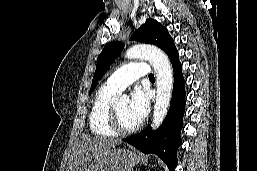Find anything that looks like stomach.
<instances>
[{"mask_svg":"<svg viewBox=\"0 0 257 171\" xmlns=\"http://www.w3.org/2000/svg\"><path fill=\"white\" fill-rule=\"evenodd\" d=\"M140 162V155L124 148H112L103 152L88 171H132Z\"/></svg>","mask_w":257,"mask_h":171,"instance_id":"obj_1","label":"stomach"}]
</instances>
